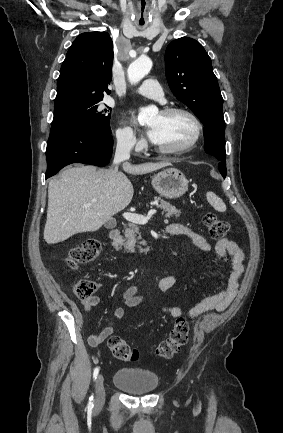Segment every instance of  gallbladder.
<instances>
[{"label": "gallbladder", "instance_id": "obj_1", "mask_svg": "<svg viewBox=\"0 0 283 433\" xmlns=\"http://www.w3.org/2000/svg\"><path fill=\"white\" fill-rule=\"evenodd\" d=\"M106 229H114L116 227V221H108V223H105Z\"/></svg>", "mask_w": 283, "mask_h": 433}]
</instances>
